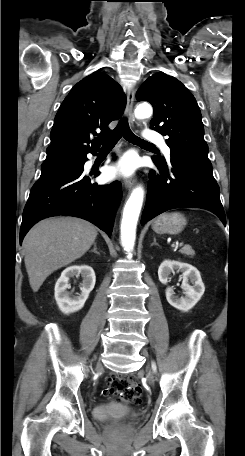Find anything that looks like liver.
<instances>
[{
    "mask_svg": "<svg viewBox=\"0 0 245 456\" xmlns=\"http://www.w3.org/2000/svg\"><path fill=\"white\" fill-rule=\"evenodd\" d=\"M97 237L96 227L75 217L49 218L37 223L23 241L24 262L33 292L57 269L82 257Z\"/></svg>",
    "mask_w": 245,
    "mask_h": 456,
    "instance_id": "1",
    "label": "liver"
}]
</instances>
